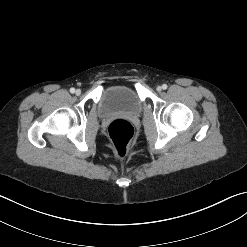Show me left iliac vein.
Returning a JSON list of instances; mask_svg holds the SVG:
<instances>
[{
	"mask_svg": "<svg viewBox=\"0 0 247 247\" xmlns=\"http://www.w3.org/2000/svg\"><path fill=\"white\" fill-rule=\"evenodd\" d=\"M156 90H157L158 92H160V91L162 90V87H161V86H157Z\"/></svg>",
	"mask_w": 247,
	"mask_h": 247,
	"instance_id": "4c4485c4",
	"label": "left iliac vein"
}]
</instances>
